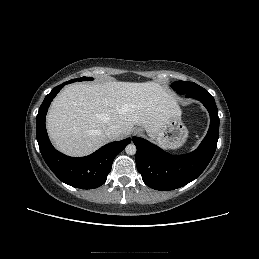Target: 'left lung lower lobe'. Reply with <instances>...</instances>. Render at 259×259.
Masks as SVG:
<instances>
[{
    "label": "left lung lower lobe",
    "mask_w": 259,
    "mask_h": 259,
    "mask_svg": "<svg viewBox=\"0 0 259 259\" xmlns=\"http://www.w3.org/2000/svg\"><path fill=\"white\" fill-rule=\"evenodd\" d=\"M199 100L210 114V127L200 146L192 153L171 155L149 141L133 137L138 172L144 183L155 190H173L196 179L211 161L218 141L219 117L213 96L207 91L186 94Z\"/></svg>",
    "instance_id": "0a47b994"
}]
</instances>
